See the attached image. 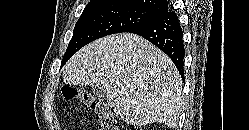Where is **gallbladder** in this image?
Returning <instances> with one entry per match:
<instances>
[{
	"mask_svg": "<svg viewBox=\"0 0 249 130\" xmlns=\"http://www.w3.org/2000/svg\"><path fill=\"white\" fill-rule=\"evenodd\" d=\"M91 92L93 93V95L100 98L106 96V88L101 84H93L91 86Z\"/></svg>",
	"mask_w": 249,
	"mask_h": 130,
	"instance_id": "1",
	"label": "gallbladder"
}]
</instances>
